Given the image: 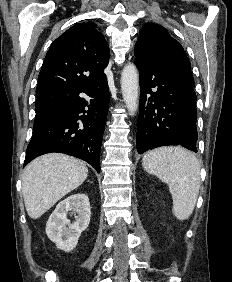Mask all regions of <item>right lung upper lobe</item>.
<instances>
[{
	"mask_svg": "<svg viewBox=\"0 0 232 282\" xmlns=\"http://www.w3.org/2000/svg\"><path fill=\"white\" fill-rule=\"evenodd\" d=\"M109 46L93 22L72 26L50 46L39 73L37 92H72L105 77Z\"/></svg>",
	"mask_w": 232,
	"mask_h": 282,
	"instance_id": "right-lung-upper-lobe-1",
	"label": "right lung upper lobe"
}]
</instances>
